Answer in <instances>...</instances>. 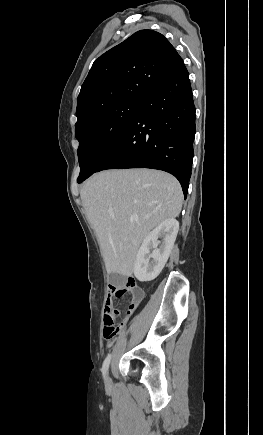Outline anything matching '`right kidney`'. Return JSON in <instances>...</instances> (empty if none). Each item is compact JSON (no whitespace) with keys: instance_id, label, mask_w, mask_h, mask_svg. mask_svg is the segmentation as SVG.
<instances>
[{"instance_id":"obj_1","label":"right kidney","mask_w":263,"mask_h":435,"mask_svg":"<svg viewBox=\"0 0 263 435\" xmlns=\"http://www.w3.org/2000/svg\"><path fill=\"white\" fill-rule=\"evenodd\" d=\"M178 230L179 222L170 218L161 222L145 237L133 268L139 281H151L160 274L173 249Z\"/></svg>"}]
</instances>
